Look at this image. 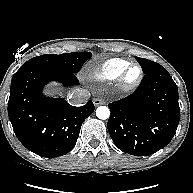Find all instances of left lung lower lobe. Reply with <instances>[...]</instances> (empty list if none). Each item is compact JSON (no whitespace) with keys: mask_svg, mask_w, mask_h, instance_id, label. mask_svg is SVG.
I'll return each mask as SVG.
<instances>
[{"mask_svg":"<svg viewBox=\"0 0 193 193\" xmlns=\"http://www.w3.org/2000/svg\"><path fill=\"white\" fill-rule=\"evenodd\" d=\"M108 107L107 128L114 144L135 156H148L164 148L180 119L177 85L161 65L145 73L134 93Z\"/></svg>","mask_w":193,"mask_h":193,"instance_id":"1","label":"left lung lower lobe"}]
</instances>
